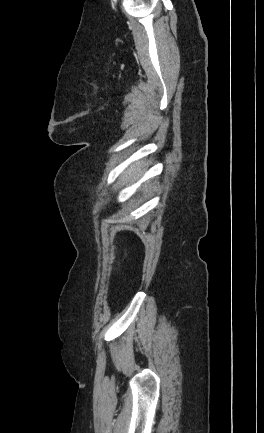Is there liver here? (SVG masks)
Listing matches in <instances>:
<instances>
[{
    "mask_svg": "<svg viewBox=\"0 0 264 433\" xmlns=\"http://www.w3.org/2000/svg\"><path fill=\"white\" fill-rule=\"evenodd\" d=\"M137 171H139L138 163L131 165L130 168L127 169V170L124 172L123 177H124V178H128V176H133V179H135L134 174H135ZM140 173H141V172H140Z\"/></svg>",
    "mask_w": 264,
    "mask_h": 433,
    "instance_id": "obj_1",
    "label": "liver"
}]
</instances>
